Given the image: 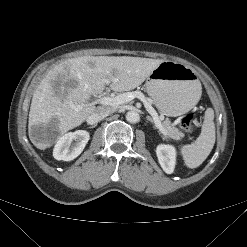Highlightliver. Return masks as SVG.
I'll list each match as a JSON object with an SVG mask.
<instances>
[{
    "label": "liver",
    "instance_id": "obj_1",
    "mask_svg": "<svg viewBox=\"0 0 247 247\" xmlns=\"http://www.w3.org/2000/svg\"><path fill=\"white\" fill-rule=\"evenodd\" d=\"M161 62L160 59L129 56H83L54 66L33 94L28 124L31 142L45 150L51 144L36 141L31 132L33 126L47 125L55 120L58 134L63 135L81 125L97 109L88 103L91 95L101 94L106 85L115 92L133 90ZM59 76L64 80L56 93L53 82ZM68 80L76 84L66 87Z\"/></svg>",
    "mask_w": 247,
    "mask_h": 247
}]
</instances>
